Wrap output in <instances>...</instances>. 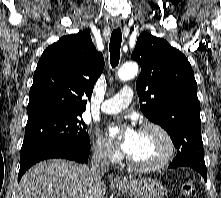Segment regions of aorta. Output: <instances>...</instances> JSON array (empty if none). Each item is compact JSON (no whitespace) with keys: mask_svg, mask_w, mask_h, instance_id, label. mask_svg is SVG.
<instances>
[{"mask_svg":"<svg viewBox=\"0 0 221 198\" xmlns=\"http://www.w3.org/2000/svg\"><path fill=\"white\" fill-rule=\"evenodd\" d=\"M137 73H138V64L130 62L120 67L117 76L120 80L125 81L135 77Z\"/></svg>","mask_w":221,"mask_h":198,"instance_id":"aorta-1","label":"aorta"}]
</instances>
